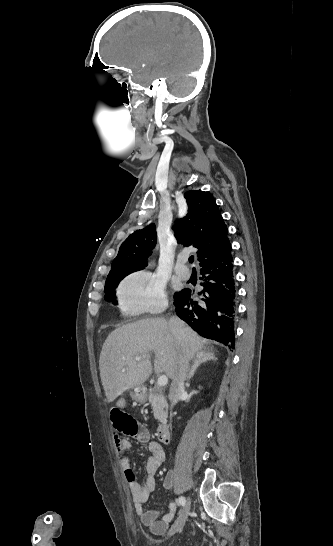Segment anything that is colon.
I'll return each mask as SVG.
<instances>
[{
	"label": "colon",
	"instance_id": "1",
	"mask_svg": "<svg viewBox=\"0 0 333 546\" xmlns=\"http://www.w3.org/2000/svg\"><path fill=\"white\" fill-rule=\"evenodd\" d=\"M111 420L114 424V431L117 436L119 434L132 435L135 431V426L126 418L125 414L121 412V406L119 404H112L110 406Z\"/></svg>",
	"mask_w": 333,
	"mask_h": 546
}]
</instances>
